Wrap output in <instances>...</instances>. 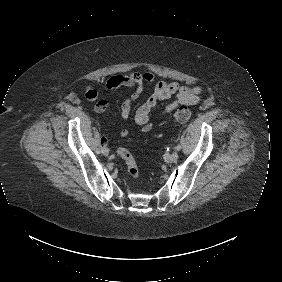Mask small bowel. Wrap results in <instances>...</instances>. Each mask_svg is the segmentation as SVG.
Instances as JSON below:
<instances>
[{"instance_id":"small-bowel-1","label":"small bowel","mask_w":282,"mask_h":282,"mask_svg":"<svg viewBox=\"0 0 282 282\" xmlns=\"http://www.w3.org/2000/svg\"><path fill=\"white\" fill-rule=\"evenodd\" d=\"M156 75L152 71L146 72H132L127 75H115L111 77L105 84L104 89L111 91L119 87H132L134 92L129 98L124 100L120 107V116L123 119H127L132 114V107L136 100L142 95L145 84L155 82ZM99 91L92 86H88L84 89V96L88 100H96L99 97ZM203 89L201 87H187L176 82H167L164 80L157 81L155 86L145 100V102L136 110L134 115L135 122L141 126L142 131H149L153 124L150 121V115L152 110L156 107L159 101L175 99L168 104L160 113V117L163 118L169 114L170 108L175 104L186 103L188 105H195L202 99ZM108 107V102L105 99H100L95 107L96 113L104 112ZM129 130L127 127H122L120 130V136L122 138L127 137ZM103 144L107 142V138L104 136L102 139Z\"/></svg>"}]
</instances>
